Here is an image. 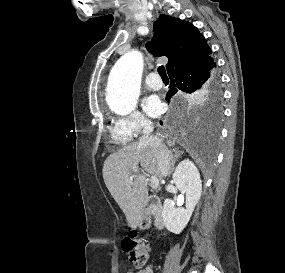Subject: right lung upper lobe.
<instances>
[{"mask_svg":"<svg viewBox=\"0 0 285 273\" xmlns=\"http://www.w3.org/2000/svg\"><path fill=\"white\" fill-rule=\"evenodd\" d=\"M146 47L155 56L168 58V74L179 66L212 53L195 26L164 14L157 19L154 37Z\"/></svg>","mask_w":285,"mask_h":273,"instance_id":"cb5924a9","label":"right lung upper lobe"}]
</instances>
